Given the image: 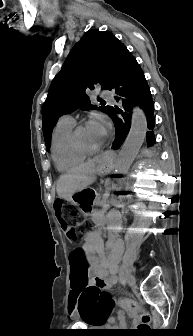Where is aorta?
Instances as JSON below:
<instances>
[{
    "instance_id": "1",
    "label": "aorta",
    "mask_w": 193,
    "mask_h": 336,
    "mask_svg": "<svg viewBox=\"0 0 193 336\" xmlns=\"http://www.w3.org/2000/svg\"><path fill=\"white\" fill-rule=\"evenodd\" d=\"M146 132L147 119L145 113L139 107H134L130 131L126 140L121 146L119 158L116 164V172L118 174H124L128 172L144 142Z\"/></svg>"
}]
</instances>
